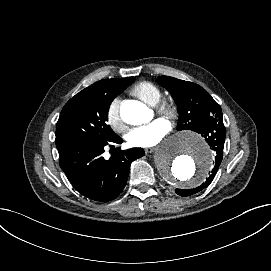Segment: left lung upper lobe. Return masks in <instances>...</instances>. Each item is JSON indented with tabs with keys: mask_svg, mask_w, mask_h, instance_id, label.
I'll return each mask as SVG.
<instances>
[{
	"mask_svg": "<svg viewBox=\"0 0 271 271\" xmlns=\"http://www.w3.org/2000/svg\"><path fill=\"white\" fill-rule=\"evenodd\" d=\"M158 83L170 92L178 106L177 130L198 132L222 117L221 106L201 86L169 76H160Z\"/></svg>",
	"mask_w": 271,
	"mask_h": 271,
	"instance_id": "left-lung-upper-lobe-1",
	"label": "left lung upper lobe"
}]
</instances>
